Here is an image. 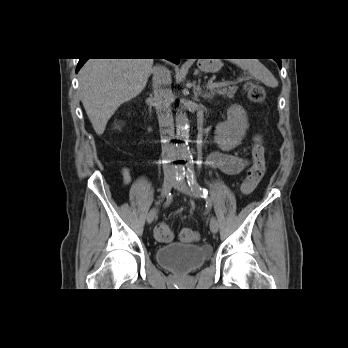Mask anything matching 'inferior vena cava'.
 Returning a JSON list of instances; mask_svg holds the SVG:
<instances>
[{
	"mask_svg": "<svg viewBox=\"0 0 348 348\" xmlns=\"http://www.w3.org/2000/svg\"><path fill=\"white\" fill-rule=\"evenodd\" d=\"M153 74V102L156 107L160 127L162 158L171 162L176 157L174 139V122L171 105L174 95L171 89V73L162 66H155L151 70Z\"/></svg>",
	"mask_w": 348,
	"mask_h": 348,
	"instance_id": "1",
	"label": "inferior vena cava"
}]
</instances>
